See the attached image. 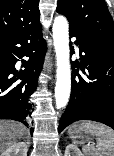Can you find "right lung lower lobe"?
I'll list each match as a JSON object with an SVG mask.
<instances>
[{
	"label": "right lung lower lobe",
	"mask_w": 114,
	"mask_h": 156,
	"mask_svg": "<svg viewBox=\"0 0 114 156\" xmlns=\"http://www.w3.org/2000/svg\"><path fill=\"white\" fill-rule=\"evenodd\" d=\"M46 50L39 22L0 39V119L28 126L32 110L29 98L37 87ZM24 56L29 60H23L24 70L17 71L15 64Z\"/></svg>",
	"instance_id": "98d812e1"
}]
</instances>
